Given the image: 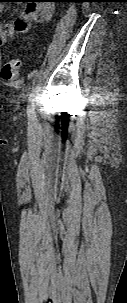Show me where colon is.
Segmentation results:
<instances>
[{"label":"colon","instance_id":"5ec220e1","mask_svg":"<svg viewBox=\"0 0 127 303\" xmlns=\"http://www.w3.org/2000/svg\"><path fill=\"white\" fill-rule=\"evenodd\" d=\"M21 62L18 59H13L7 62L2 69V78L7 81L15 80L20 73Z\"/></svg>","mask_w":127,"mask_h":303}]
</instances>
